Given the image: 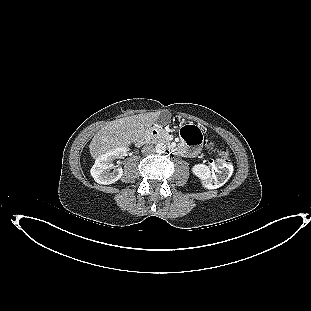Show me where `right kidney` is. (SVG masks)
<instances>
[{"label":"right kidney","instance_id":"1","mask_svg":"<svg viewBox=\"0 0 311 311\" xmlns=\"http://www.w3.org/2000/svg\"><path fill=\"white\" fill-rule=\"evenodd\" d=\"M126 151L127 148L125 146L118 147L97 158L90 170L93 179L97 183L104 185H109L119 180L123 175V169L117 168L113 172H109V170L114 168L113 161L124 156Z\"/></svg>","mask_w":311,"mask_h":311}]
</instances>
